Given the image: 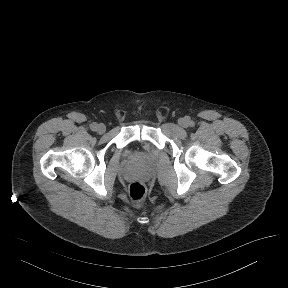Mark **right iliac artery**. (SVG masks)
<instances>
[{
    "label": "right iliac artery",
    "mask_w": 288,
    "mask_h": 288,
    "mask_svg": "<svg viewBox=\"0 0 288 288\" xmlns=\"http://www.w3.org/2000/svg\"><path fill=\"white\" fill-rule=\"evenodd\" d=\"M91 129L96 130L97 129V123H92L91 124Z\"/></svg>",
    "instance_id": "1"
}]
</instances>
